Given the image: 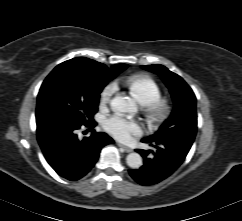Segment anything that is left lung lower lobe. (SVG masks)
<instances>
[{
  "instance_id": "0a47b994",
  "label": "left lung lower lobe",
  "mask_w": 242,
  "mask_h": 221,
  "mask_svg": "<svg viewBox=\"0 0 242 221\" xmlns=\"http://www.w3.org/2000/svg\"><path fill=\"white\" fill-rule=\"evenodd\" d=\"M149 143L156 151L137 149L144 159V164L139 169L129 170L131 177L140 185H154L173 174L183 163L192 143L177 139Z\"/></svg>"
}]
</instances>
